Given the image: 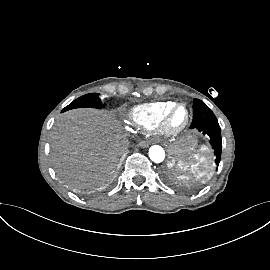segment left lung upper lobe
Listing matches in <instances>:
<instances>
[{
    "mask_svg": "<svg viewBox=\"0 0 270 270\" xmlns=\"http://www.w3.org/2000/svg\"><path fill=\"white\" fill-rule=\"evenodd\" d=\"M217 121L215 115L207 105L199 99H194L193 121L191 126H196L204 122Z\"/></svg>",
    "mask_w": 270,
    "mask_h": 270,
    "instance_id": "1",
    "label": "left lung upper lobe"
}]
</instances>
